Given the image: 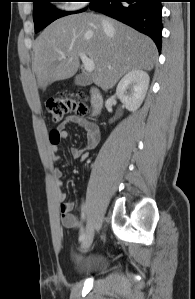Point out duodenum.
Instances as JSON below:
<instances>
[{
  "label": "duodenum",
  "instance_id": "obj_1",
  "mask_svg": "<svg viewBox=\"0 0 195 299\" xmlns=\"http://www.w3.org/2000/svg\"><path fill=\"white\" fill-rule=\"evenodd\" d=\"M89 102H90L91 109H92V116L96 117L98 115V113L100 112L102 104H103L102 96L97 89L92 88L90 90Z\"/></svg>",
  "mask_w": 195,
  "mask_h": 299
}]
</instances>
